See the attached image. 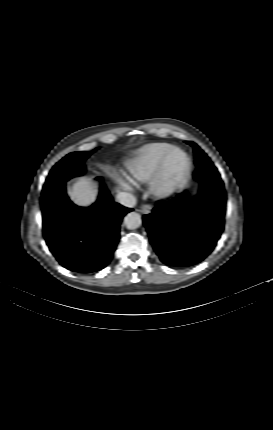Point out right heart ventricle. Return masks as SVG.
<instances>
[{
    "label": "right heart ventricle",
    "mask_w": 273,
    "mask_h": 430,
    "mask_svg": "<svg viewBox=\"0 0 273 430\" xmlns=\"http://www.w3.org/2000/svg\"><path fill=\"white\" fill-rule=\"evenodd\" d=\"M173 147L164 142L150 143L142 147L135 157L127 163V172L134 183H143L151 179L162 157Z\"/></svg>",
    "instance_id": "1"
}]
</instances>
